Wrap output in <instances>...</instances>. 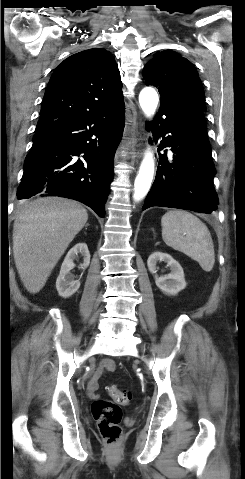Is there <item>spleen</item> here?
Returning a JSON list of instances; mask_svg holds the SVG:
<instances>
[{
	"label": "spleen",
	"instance_id": "spleen-1",
	"mask_svg": "<svg viewBox=\"0 0 245 479\" xmlns=\"http://www.w3.org/2000/svg\"><path fill=\"white\" fill-rule=\"evenodd\" d=\"M162 238L167 246L197 261L210 272L215 263L214 245L207 226L190 212L171 210L161 219Z\"/></svg>",
	"mask_w": 245,
	"mask_h": 479
}]
</instances>
